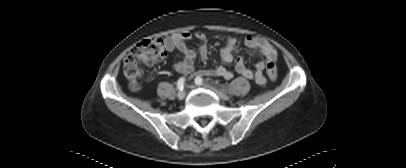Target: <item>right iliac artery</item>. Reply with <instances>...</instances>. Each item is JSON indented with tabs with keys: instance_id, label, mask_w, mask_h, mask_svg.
<instances>
[{
	"instance_id": "right-iliac-artery-1",
	"label": "right iliac artery",
	"mask_w": 406,
	"mask_h": 168,
	"mask_svg": "<svg viewBox=\"0 0 406 168\" xmlns=\"http://www.w3.org/2000/svg\"><path fill=\"white\" fill-rule=\"evenodd\" d=\"M184 84H185V78L184 77L179 78V80L177 82V88L182 91L184 88Z\"/></svg>"
}]
</instances>
